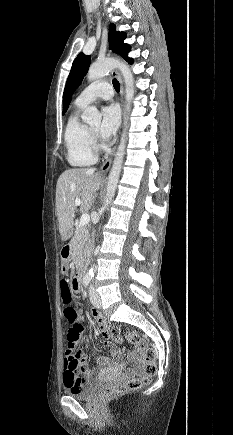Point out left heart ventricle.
<instances>
[{"mask_svg":"<svg viewBox=\"0 0 233 435\" xmlns=\"http://www.w3.org/2000/svg\"><path fill=\"white\" fill-rule=\"evenodd\" d=\"M92 130L97 131L99 129V125L90 126Z\"/></svg>","mask_w":233,"mask_h":435,"instance_id":"obj_1","label":"left heart ventricle"}]
</instances>
